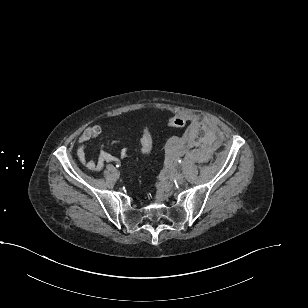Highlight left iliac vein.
Masks as SVG:
<instances>
[{"label": "left iliac vein", "mask_w": 308, "mask_h": 308, "mask_svg": "<svg viewBox=\"0 0 308 308\" xmlns=\"http://www.w3.org/2000/svg\"><path fill=\"white\" fill-rule=\"evenodd\" d=\"M174 179L178 185H182L184 183V176L180 173H176L174 175Z\"/></svg>", "instance_id": "1"}]
</instances>
